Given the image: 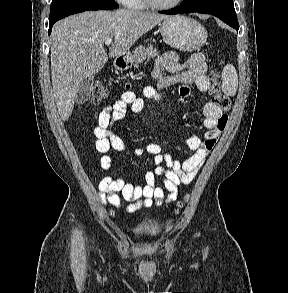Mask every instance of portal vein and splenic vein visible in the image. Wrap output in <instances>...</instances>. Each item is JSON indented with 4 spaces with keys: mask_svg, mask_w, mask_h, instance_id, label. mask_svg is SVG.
I'll list each match as a JSON object with an SVG mask.
<instances>
[{
    "mask_svg": "<svg viewBox=\"0 0 288 293\" xmlns=\"http://www.w3.org/2000/svg\"><path fill=\"white\" fill-rule=\"evenodd\" d=\"M112 44V38H108L105 40V45H111Z\"/></svg>",
    "mask_w": 288,
    "mask_h": 293,
    "instance_id": "portal-vein-and-splenic-vein-1",
    "label": "portal vein and splenic vein"
}]
</instances>
